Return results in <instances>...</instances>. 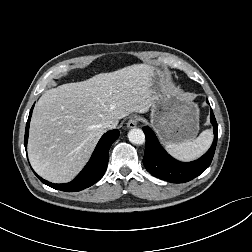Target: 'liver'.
Returning <instances> with one entry per match:
<instances>
[{
    "mask_svg": "<svg viewBox=\"0 0 252 252\" xmlns=\"http://www.w3.org/2000/svg\"><path fill=\"white\" fill-rule=\"evenodd\" d=\"M153 68L135 64L85 81L47 90L35 105L28 140L29 161L44 179L71 181L105 132L102 124L152 108Z\"/></svg>",
    "mask_w": 252,
    "mask_h": 252,
    "instance_id": "1",
    "label": "liver"
}]
</instances>
